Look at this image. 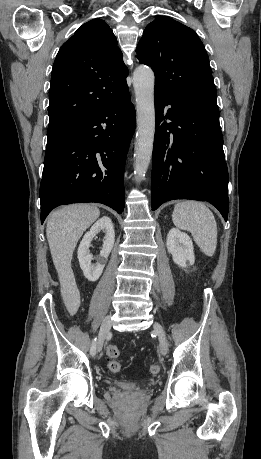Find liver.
I'll return each mask as SVG.
<instances>
[{"label": "liver", "instance_id": "obj_1", "mask_svg": "<svg viewBox=\"0 0 261 459\" xmlns=\"http://www.w3.org/2000/svg\"><path fill=\"white\" fill-rule=\"evenodd\" d=\"M100 216V210L90 204L65 206L50 214L46 234L62 294L75 287L71 260L77 242Z\"/></svg>", "mask_w": 261, "mask_h": 459}]
</instances>
